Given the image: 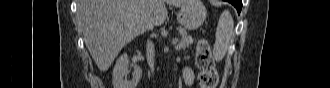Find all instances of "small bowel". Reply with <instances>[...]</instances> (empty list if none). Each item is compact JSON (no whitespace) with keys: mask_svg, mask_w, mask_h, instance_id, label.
<instances>
[{"mask_svg":"<svg viewBox=\"0 0 330 88\" xmlns=\"http://www.w3.org/2000/svg\"><path fill=\"white\" fill-rule=\"evenodd\" d=\"M181 73H182L184 82L187 85H191L193 82V78H194L193 71L189 68H183Z\"/></svg>","mask_w":330,"mask_h":88,"instance_id":"c3829d8e","label":"small bowel"}]
</instances>
